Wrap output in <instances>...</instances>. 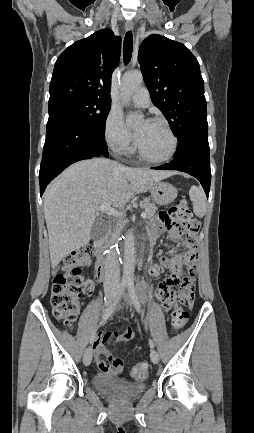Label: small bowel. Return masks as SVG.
<instances>
[{"label": "small bowel", "instance_id": "c3829d8e", "mask_svg": "<svg viewBox=\"0 0 254 433\" xmlns=\"http://www.w3.org/2000/svg\"><path fill=\"white\" fill-rule=\"evenodd\" d=\"M164 230H167L175 239H182V232L172 226H167L162 223L159 217L155 218L151 223V236L156 237ZM181 245L187 247V251L183 254L176 255L172 258L162 256L160 264H153L149 268V275L157 277L162 272V266L169 268L172 276L161 282L155 291V298L160 305L169 310L171 306L179 300V298H188L193 300L195 291V276L197 274V263L193 252V245L190 239L182 241ZM187 268V276L181 278L182 268ZM174 286L179 287V292L175 293ZM136 333L131 329H126L124 332H99L94 338L95 362L99 370L107 376H116L120 374L124 368V361L112 354L106 346V342L112 338H116L120 343H125L128 340H133Z\"/></svg>", "mask_w": 254, "mask_h": 433}]
</instances>
